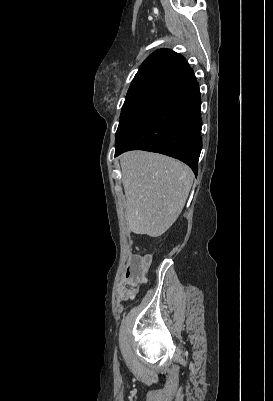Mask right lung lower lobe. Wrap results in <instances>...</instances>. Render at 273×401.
Returning <instances> with one entry per match:
<instances>
[{
  "label": "right lung lower lobe",
  "instance_id": "obj_1",
  "mask_svg": "<svg viewBox=\"0 0 273 401\" xmlns=\"http://www.w3.org/2000/svg\"><path fill=\"white\" fill-rule=\"evenodd\" d=\"M200 91L197 80L169 96L115 150V156L129 150H146L179 159L195 175L202 149Z\"/></svg>",
  "mask_w": 273,
  "mask_h": 401
}]
</instances>
